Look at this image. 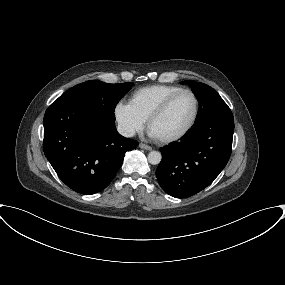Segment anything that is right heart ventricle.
<instances>
[{
	"mask_svg": "<svg viewBox=\"0 0 285 285\" xmlns=\"http://www.w3.org/2000/svg\"><path fill=\"white\" fill-rule=\"evenodd\" d=\"M174 85H150L135 90L129 99L134 111L146 121L149 115L171 94L181 90Z\"/></svg>",
	"mask_w": 285,
	"mask_h": 285,
	"instance_id": "right-heart-ventricle-1",
	"label": "right heart ventricle"
}]
</instances>
